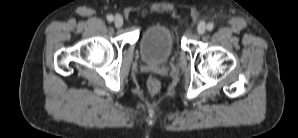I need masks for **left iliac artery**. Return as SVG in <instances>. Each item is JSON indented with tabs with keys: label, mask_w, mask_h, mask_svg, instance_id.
Instances as JSON below:
<instances>
[{
	"label": "left iliac artery",
	"mask_w": 298,
	"mask_h": 138,
	"mask_svg": "<svg viewBox=\"0 0 298 138\" xmlns=\"http://www.w3.org/2000/svg\"><path fill=\"white\" fill-rule=\"evenodd\" d=\"M213 28H214L213 23H208V24H207V30H208V31L213 30Z\"/></svg>",
	"instance_id": "44dca946"
}]
</instances>
